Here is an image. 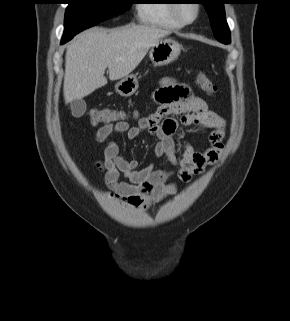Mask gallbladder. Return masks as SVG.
<instances>
[{"instance_id":"bac80fb5","label":"gallbladder","mask_w":290,"mask_h":321,"mask_svg":"<svg viewBox=\"0 0 290 321\" xmlns=\"http://www.w3.org/2000/svg\"><path fill=\"white\" fill-rule=\"evenodd\" d=\"M70 108L72 111V115L75 118L81 117L86 111V103L82 99H75L70 102Z\"/></svg>"}]
</instances>
